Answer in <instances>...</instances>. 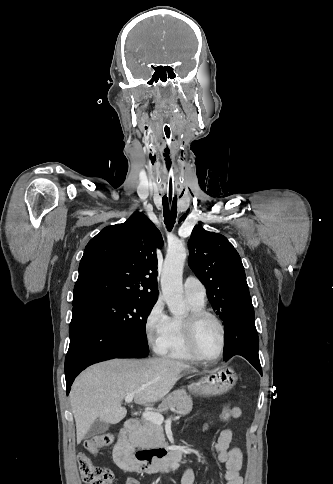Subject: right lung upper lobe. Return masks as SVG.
I'll return each instance as SVG.
<instances>
[{
    "instance_id": "right-lung-upper-lobe-1",
    "label": "right lung upper lobe",
    "mask_w": 333,
    "mask_h": 484,
    "mask_svg": "<svg viewBox=\"0 0 333 484\" xmlns=\"http://www.w3.org/2000/svg\"><path fill=\"white\" fill-rule=\"evenodd\" d=\"M163 239L143 213L107 226L87 244L72 304L94 295L157 299V249Z\"/></svg>"
}]
</instances>
